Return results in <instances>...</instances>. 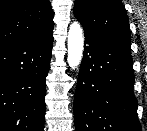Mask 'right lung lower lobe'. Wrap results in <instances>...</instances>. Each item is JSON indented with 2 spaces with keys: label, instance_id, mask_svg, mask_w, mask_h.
Wrapping results in <instances>:
<instances>
[{
  "label": "right lung lower lobe",
  "instance_id": "right-lung-lower-lobe-1",
  "mask_svg": "<svg viewBox=\"0 0 147 131\" xmlns=\"http://www.w3.org/2000/svg\"><path fill=\"white\" fill-rule=\"evenodd\" d=\"M52 45L51 31L0 50V131H44Z\"/></svg>",
  "mask_w": 147,
  "mask_h": 131
}]
</instances>
